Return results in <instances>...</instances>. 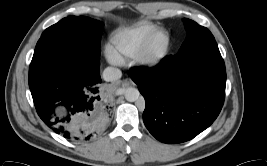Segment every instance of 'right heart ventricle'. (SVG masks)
Returning a JSON list of instances; mask_svg holds the SVG:
<instances>
[{"instance_id": "e07e8e85", "label": "right heart ventricle", "mask_w": 267, "mask_h": 166, "mask_svg": "<svg viewBox=\"0 0 267 166\" xmlns=\"http://www.w3.org/2000/svg\"><path fill=\"white\" fill-rule=\"evenodd\" d=\"M158 26L150 22H138L129 28L116 30L110 38L118 56H132L143 45Z\"/></svg>"}]
</instances>
